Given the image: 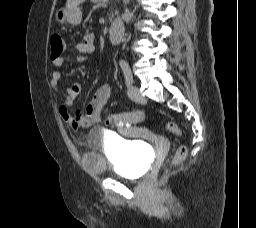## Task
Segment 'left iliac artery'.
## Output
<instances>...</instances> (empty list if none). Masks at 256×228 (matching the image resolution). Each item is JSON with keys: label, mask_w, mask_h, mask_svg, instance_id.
I'll return each instance as SVG.
<instances>
[{"label": "left iliac artery", "mask_w": 256, "mask_h": 228, "mask_svg": "<svg viewBox=\"0 0 256 228\" xmlns=\"http://www.w3.org/2000/svg\"><path fill=\"white\" fill-rule=\"evenodd\" d=\"M121 68L124 73L126 85L130 86L133 83V76L128 63L126 62L121 63Z\"/></svg>", "instance_id": "1"}]
</instances>
